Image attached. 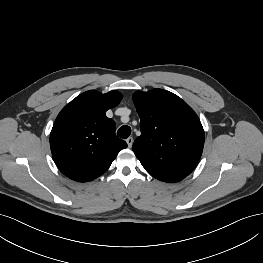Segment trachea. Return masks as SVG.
<instances>
[{
    "mask_svg": "<svg viewBox=\"0 0 263 263\" xmlns=\"http://www.w3.org/2000/svg\"><path fill=\"white\" fill-rule=\"evenodd\" d=\"M131 134V128L127 125L121 126L117 131V135L120 138L127 139Z\"/></svg>",
    "mask_w": 263,
    "mask_h": 263,
    "instance_id": "trachea-1",
    "label": "trachea"
}]
</instances>
